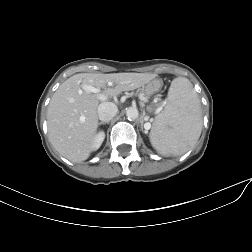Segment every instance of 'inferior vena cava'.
<instances>
[{"label": "inferior vena cava", "instance_id": "obj_1", "mask_svg": "<svg viewBox=\"0 0 252 252\" xmlns=\"http://www.w3.org/2000/svg\"><path fill=\"white\" fill-rule=\"evenodd\" d=\"M118 108L112 102H104L98 106V117L102 122H109L117 114Z\"/></svg>", "mask_w": 252, "mask_h": 252}]
</instances>
